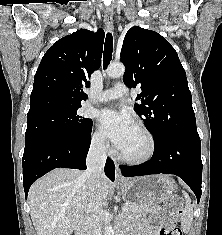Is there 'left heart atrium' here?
<instances>
[{"instance_id": "39dd6f15", "label": "left heart atrium", "mask_w": 222, "mask_h": 235, "mask_svg": "<svg viewBox=\"0 0 222 235\" xmlns=\"http://www.w3.org/2000/svg\"><path fill=\"white\" fill-rule=\"evenodd\" d=\"M98 120L104 134L107 135L115 147L120 150L134 127L130 115L126 112L104 109L99 113Z\"/></svg>"}]
</instances>
